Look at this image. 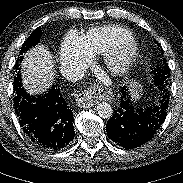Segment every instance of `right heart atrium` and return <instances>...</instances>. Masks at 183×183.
Instances as JSON below:
<instances>
[{
    "label": "right heart atrium",
    "mask_w": 183,
    "mask_h": 183,
    "mask_svg": "<svg viewBox=\"0 0 183 183\" xmlns=\"http://www.w3.org/2000/svg\"><path fill=\"white\" fill-rule=\"evenodd\" d=\"M60 62L63 68L74 64L84 66L88 63V57L75 35L69 36L63 42L60 49Z\"/></svg>",
    "instance_id": "obj_1"
}]
</instances>
